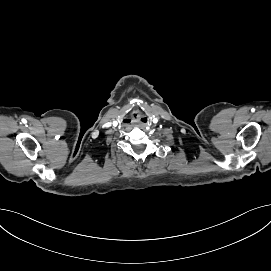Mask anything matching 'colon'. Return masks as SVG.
Instances as JSON below:
<instances>
[{
	"label": "colon",
	"instance_id": "obj_1",
	"mask_svg": "<svg viewBox=\"0 0 271 271\" xmlns=\"http://www.w3.org/2000/svg\"><path fill=\"white\" fill-rule=\"evenodd\" d=\"M78 155V149H75L71 155V161L75 160Z\"/></svg>",
	"mask_w": 271,
	"mask_h": 271
}]
</instances>
